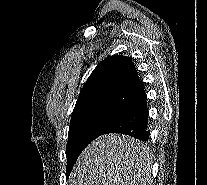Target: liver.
I'll return each instance as SVG.
<instances>
[{
	"instance_id": "6515ba94",
	"label": "liver",
	"mask_w": 207,
	"mask_h": 185,
	"mask_svg": "<svg viewBox=\"0 0 207 185\" xmlns=\"http://www.w3.org/2000/svg\"><path fill=\"white\" fill-rule=\"evenodd\" d=\"M148 151L138 139L109 133L92 141L78 157L71 185H149Z\"/></svg>"
}]
</instances>
